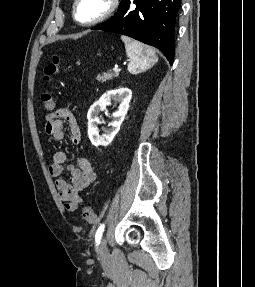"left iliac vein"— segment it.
<instances>
[{"instance_id":"left-iliac-vein-1","label":"left iliac vein","mask_w":255,"mask_h":287,"mask_svg":"<svg viewBox=\"0 0 255 287\" xmlns=\"http://www.w3.org/2000/svg\"><path fill=\"white\" fill-rule=\"evenodd\" d=\"M98 251L100 256H105L108 253V247L105 238H103L102 241L100 242L98 246Z\"/></svg>"}]
</instances>
